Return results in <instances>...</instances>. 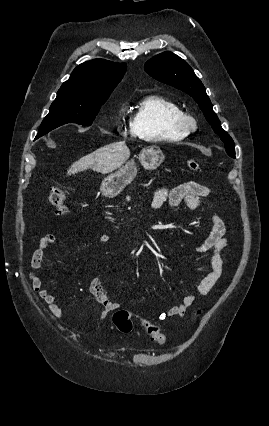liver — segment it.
<instances>
[{
    "mask_svg": "<svg viewBox=\"0 0 269 426\" xmlns=\"http://www.w3.org/2000/svg\"><path fill=\"white\" fill-rule=\"evenodd\" d=\"M129 157L130 149L124 141L111 143L74 162L67 170V175L70 176L88 169L108 174L120 168Z\"/></svg>",
    "mask_w": 269,
    "mask_h": 426,
    "instance_id": "obj_1",
    "label": "liver"
}]
</instances>
